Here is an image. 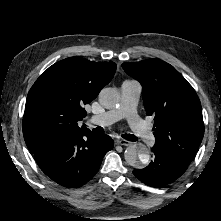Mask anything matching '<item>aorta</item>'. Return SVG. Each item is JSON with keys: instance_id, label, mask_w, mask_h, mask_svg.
Wrapping results in <instances>:
<instances>
[{"instance_id": "aorta-1", "label": "aorta", "mask_w": 221, "mask_h": 221, "mask_svg": "<svg viewBox=\"0 0 221 221\" xmlns=\"http://www.w3.org/2000/svg\"><path fill=\"white\" fill-rule=\"evenodd\" d=\"M120 100L119 92L114 88H104L99 93V102L106 108H114ZM125 161L135 167L140 168L146 165L150 160V153L144 145H130L124 153Z\"/></svg>"}]
</instances>
